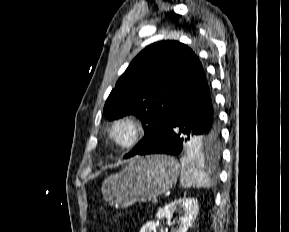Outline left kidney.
Wrapping results in <instances>:
<instances>
[{
    "instance_id": "1",
    "label": "left kidney",
    "mask_w": 289,
    "mask_h": 232,
    "mask_svg": "<svg viewBox=\"0 0 289 232\" xmlns=\"http://www.w3.org/2000/svg\"><path fill=\"white\" fill-rule=\"evenodd\" d=\"M199 206L198 202L194 198L183 197L176 199L171 203L167 204L163 209L157 213V218H171L174 212H179L181 217L177 220L178 226L173 232H187L188 228L192 225L198 215ZM157 223L154 221L147 222L140 232H156Z\"/></svg>"
}]
</instances>
